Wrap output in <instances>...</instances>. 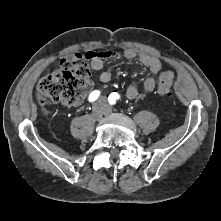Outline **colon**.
<instances>
[{
    "instance_id": "1",
    "label": "colon",
    "mask_w": 221,
    "mask_h": 221,
    "mask_svg": "<svg viewBox=\"0 0 221 221\" xmlns=\"http://www.w3.org/2000/svg\"><path fill=\"white\" fill-rule=\"evenodd\" d=\"M87 56L73 53L63 56L60 68L41 78L37 84V99L41 106L47 101L76 105L82 101L92 86ZM175 81V74L165 71L161 74L157 92L169 96Z\"/></svg>"
}]
</instances>
